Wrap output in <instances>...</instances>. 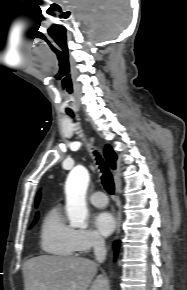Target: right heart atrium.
<instances>
[{
    "instance_id": "obj_1",
    "label": "right heart atrium",
    "mask_w": 187,
    "mask_h": 290,
    "mask_svg": "<svg viewBox=\"0 0 187 290\" xmlns=\"http://www.w3.org/2000/svg\"><path fill=\"white\" fill-rule=\"evenodd\" d=\"M76 251L87 253L94 248L103 245V239L94 231L87 229H78L73 232Z\"/></svg>"
}]
</instances>
